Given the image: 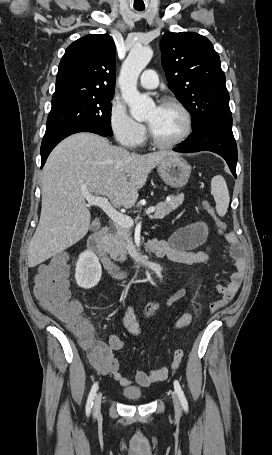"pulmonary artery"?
Masks as SVG:
<instances>
[{"instance_id":"1","label":"pulmonary artery","mask_w":272,"mask_h":455,"mask_svg":"<svg viewBox=\"0 0 272 455\" xmlns=\"http://www.w3.org/2000/svg\"><path fill=\"white\" fill-rule=\"evenodd\" d=\"M139 85L144 89H154L158 85L157 73L152 69L145 70L139 81Z\"/></svg>"}]
</instances>
